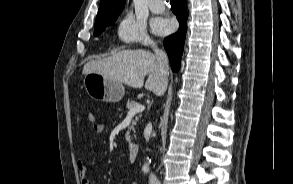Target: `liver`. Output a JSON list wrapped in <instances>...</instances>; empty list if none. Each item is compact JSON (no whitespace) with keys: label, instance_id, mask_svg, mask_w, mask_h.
Masks as SVG:
<instances>
[{"label":"liver","instance_id":"1","mask_svg":"<svg viewBox=\"0 0 293 184\" xmlns=\"http://www.w3.org/2000/svg\"><path fill=\"white\" fill-rule=\"evenodd\" d=\"M98 73L123 82L133 88H145L156 95L164 93L156 55L145 50H122L105 58L93 59L83 68V74Z\"/></svg>","mask_w":293,"mask_h":184}]
</instances>
